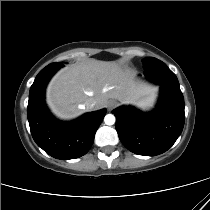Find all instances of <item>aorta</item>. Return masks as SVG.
I'll use <instances>...</instances> for the list:
<instances>
[{"instance_id":"1","label":"aorta","mask_w":210,"mask_h":210,"mask_svg":"<svg viewBox=\"0 0 210 210\" xmlns=\"http://www.w3.org/2000/svg\"><path fill=\"white\" fill-rule=\"evenodd\" d=\"M106 125H113L115 123V116L113 114H107L104 118Z\"/></svg>"}]
</instances>
